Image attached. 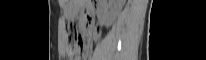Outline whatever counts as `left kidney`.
<instances>
[{
    "instance_id": "1",
    "label": "left kidney",
    "mask_w": 206,
    "mask_h": 60,
    "mask_svg": "<svg viewBox=\"0 0 206 60\" xmlns=\"http://www.w3.org/2000/svg\"><path fill=\"white\" fill-rule=\"evenodd\" d=\"M123 4V0H116L114 7L109 12H104L101 14L100 19L106 24L109 25L115 19L117 14L120 12Z\"/></svg>"
}]
</instances>
